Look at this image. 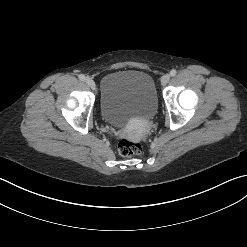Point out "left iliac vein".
<instances>
[{"instance_id":"4c4485c4","label":"left iliac vein","mask_w":247,"mask_h":247,"mask_svg":"<svg viewBox=\"0 0 247 247\" xmlns=\"http://www.w3.org/2000/svg\"><path fill=\"white\" fill-rule=\"evenodd\" d=\"M170 80V75L169 74H165L162 78H161V84L162 85H166Z\"/></svg>"}]
</instances>
